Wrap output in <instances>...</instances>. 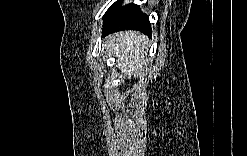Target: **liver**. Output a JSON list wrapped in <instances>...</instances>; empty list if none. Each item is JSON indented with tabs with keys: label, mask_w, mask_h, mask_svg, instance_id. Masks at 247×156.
Masks as SVG:
<instances>
[{
	"label": "liver",
	"mask_w": 247,
	"mask_h": 156,
	"mask_svg": "<svg viewBox=\"0 0 247 156\" xmlns=\"http://www.w3.org/2000/svg\"><path fill=\"white\" fill-rule=\"evenodd\" d=\"M150 40L136 31H122L106 37L105 46L108 53L116 58L122 77L138 76L146 64Z\"/></svg>",
	"instance_id": "liver-1"
}]
</instances>
